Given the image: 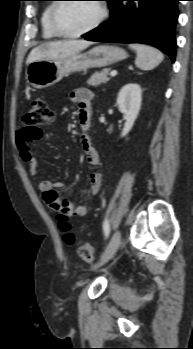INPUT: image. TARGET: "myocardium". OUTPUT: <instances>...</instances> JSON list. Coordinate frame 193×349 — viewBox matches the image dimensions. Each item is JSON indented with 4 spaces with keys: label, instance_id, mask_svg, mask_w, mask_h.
<instances>
[{
    "label": "myocardium",
    "instance_id": "myocardium-1",
    "mask_svg": "<svg viewBox=\"0 0 193 349\" xmlns=\"http://www.w3.org/2000/svg\"><path fill=\"white\" fill-rule=\"evenodd\" d=\"M59 2H56L53 4L50 13H49V26L50 29L52 30V32L61 38H65V39H74V38H78L81 37L83 35H86L92 31H94L95 29H97L107 18L108 16V8L106 6V4L104 2H102L101 0H93L95 1V3L98 5L99 9H100V14L98 16V18L95 20V22L90 25L89 27L79 31V32H75V33H66L63 32L62 30H60V28L57 25V21H56V16L57 13L60 9V7L65 4L66 2H64L63 0H58Z\"/></svg>",
    "mask_w": 193,
    "mask_h": 349
}]
</instances>
